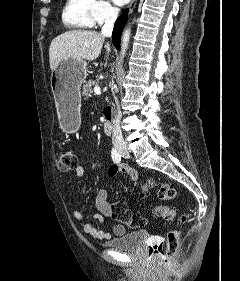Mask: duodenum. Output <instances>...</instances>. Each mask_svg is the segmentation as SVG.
I'll list each match as a JSON object with an SVG mask.
<instances>
[{"mask_svg": "<svg viewBox=\"0 0 240 281\" xmlns=\"http://www.w3.org/2000/svg\"><path fill=\"white\" fill-rule=\"evenodd\" d=\"M102 126H103V131L106 135L112 134V130H113L112 115L108 111H105Z\"/></svg>", "mask_w": 240, "mask_h": 281, "instance_id": "1", "label": "duodenum"}]
</instances>
